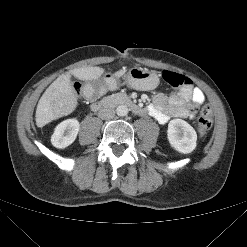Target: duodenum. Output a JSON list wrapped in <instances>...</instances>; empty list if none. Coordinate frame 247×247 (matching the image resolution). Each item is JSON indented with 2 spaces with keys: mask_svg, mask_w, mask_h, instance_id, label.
Masks as SVG:
<instances>
[{
  "mask_svg": "<svg viewBox=\"0 0 247 247\" xmlns=\"http://www.w3.org/2000/svg\"><path fill=\"white\" fill-rule=\"evenodd\" d=\"M116 105H125L137 114H140L143 111L142 108L136 102H134L128 96L122 94L107 96L102 99L91 98L90 103V107L96 111L110 109Z\"/></svg>",
  "mask_w": 247,
  "mask_h": 247,
  "instance_id": "1",
  "label": "duodenum"
}]
</instances>
